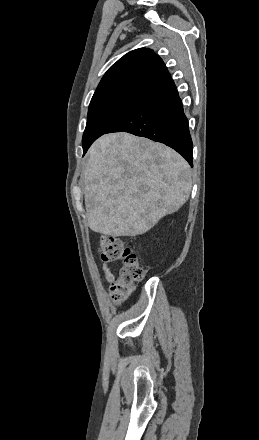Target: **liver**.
<instances>
[{"instance_id": "1", "label": "liver", "mask_w": 259, "mask_h": 440, "mask_svg": "<svg viewBox=\"0 0 259 440\" xmlns=\"http://www.w3.org/2000/svg\"><path fill=\"white\" fill-rule=\"evenodd\" d=\"M90 229L112 237L146 233L188 200L191 170L173 149L129 133L101 136L83 169Z\"/></svg>"}]
</instances>
